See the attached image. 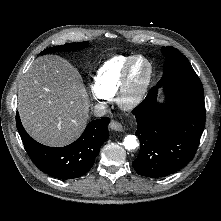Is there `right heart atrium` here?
Returning a JSON list of instances; mask_svg holds the SVG:
<instances>
[{"label": "right heart atrium", "mask_w": 221, "mask_h": 221, "mask_svg": "<svg viewBox=\"0 0 221 221\" xmlns=\"http://www.w3.org/2000/svg\"><path fill=\"white\" fill-rule=\"evenodd\" d=\"M91 94H92V97L93 99L98 102V103H101V104H104L106 103V98H104L103 96H101L100 94H98L94 88L91 89Z\"/></svg>", "instance_id": "d8ad5b80"}]
</instances>
